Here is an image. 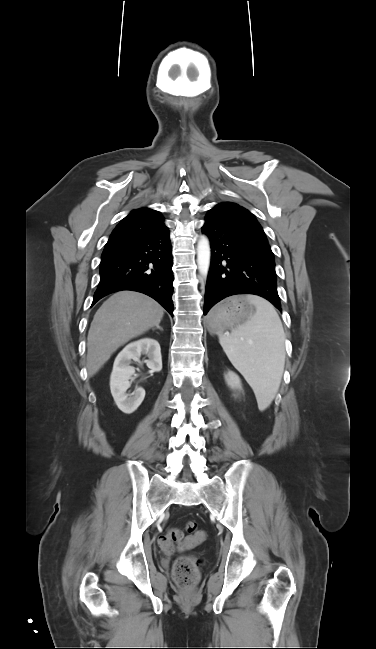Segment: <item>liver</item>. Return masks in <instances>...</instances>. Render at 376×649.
Segmentation results:
<instances>
[{
  "label": "liver",
  "mask_w": 376,
  "mask_h": 649,
  "mask_svg": "<svg viewBox=\"0 0 376 649\" xmlns=\"http://www.w3.org/2000/svg\"><path fill=\"white\" fill-rule=\"evenodd\" d=\"M163 315L161 305L143 293L120 291L110 296L95 313L88 332V375L96 374L120 346L157 326Z\"/></svg>",
  "instance_id": "6515ba94"
}]
</instances>
